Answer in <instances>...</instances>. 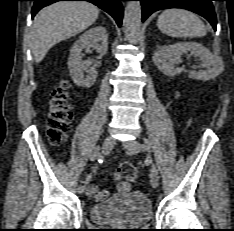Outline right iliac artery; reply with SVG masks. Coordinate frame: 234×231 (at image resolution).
Listing matches in <instances>:
<instances>
[{"mask_svg": "<svg viewBox=\"0 0 234 231\" xmlns=\"http://www.w3.org/2000/svg\"><path fill=\"white\" fill-rule=\"evenodd\" d=\"M99 157H100V154H99L98 150H95L93 153L90 154L89 158L91 161H95ZM90 180H91V175H88L85 182H84V186H83L84 188L89 183Z\"/></svg>", "mask_w": 234, "mask_h": 231, "instance_id": "right-iliac-artery-1", "label": "right iliac artery"}]
</instances>
